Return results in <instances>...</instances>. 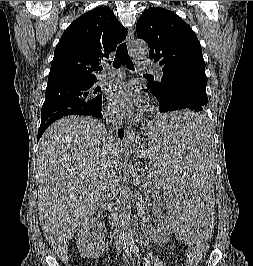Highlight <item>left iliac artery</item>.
I'll return each mask as SVG.
<instances>
[{"label":"left iliac artery","instance_id":"left-iliac-artery-1","mask_svg":"<svg viewBox=\"0 0 253 266\" xmlns=\"http://www.w3.org/2000/svg\"><path fill=\"white\" fill-rule=\"evenodd\" d=\"M132 251H133L134 255H135L138 259H142V255L140 254L139 249H138L137 246L134 245L133 248H132Z\"/></svg>","mask_w":253,"mask_h":266}]
</instances>
